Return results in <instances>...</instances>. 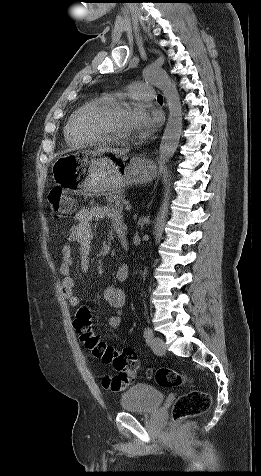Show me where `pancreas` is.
Wrapping results in <instances>:
<instances>
[{
    "instance_id": "1",
    "label": "pancreas",
    "mask_w": 261,
    "mask_h": 476,
    "mask_svg": "<svg viewBox=\"0 0 261 476\" xmlns=\"http://www.w3.org/2000/svg\"><path fill=\"white\" fill-rule=\"evenodd\" d=\"M107 200L110 204H112L115 208L122 209L125 203V199L122 194H115L109 195Z\"/></svg>"
}]
</instances>
